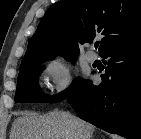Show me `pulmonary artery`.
<instances>
[{
  "label": "pulmonary artery",
  "instance_id": "e3ab8cb5",
  "mask_svg": "<svg viewBox=\"0 0 141 139\" xmlns=\"http://www.w3.org/2000/svg\"><path fill=\"white\" fill-rule=\"evenodd\" d=\"M85 58L88 62L93 63L97 59V55L93 51H87Z\"/></svg>",
  "mask_w": 141,
  "mask_h": 139
}]
</instances>
